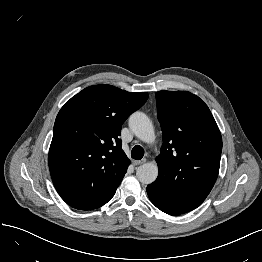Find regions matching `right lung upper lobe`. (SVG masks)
<instances>
[{
	"label": "right lung upper lobe",
	"instance_id": "obj_1",
	"mask_svg": "<svg viewBox=\"0 0 262 262\" xmlns=\"http://www.w3.org/2000/svg\"><path fill=\"white\" fill-rule=\"evenodd\" d=\"M111 85H94L72 97L59 111L49 150V168L62 199L92 210L115 194L129 159L121 149V127L147 100Z\"/></svg>",
	"mask_w": 262,
	"mask_h": 262
}]
</instances>
